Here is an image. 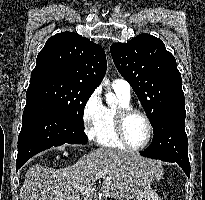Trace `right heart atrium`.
I'll return each mask as SVG.
<instances>
[{"instance_id":"right-heart-atrium-1","label":"right heart atrium","mask_w":205,"mask_h":200,"mask_svg":"<svg viewBox=\"0 0 205 200\" xmlns=\"http://www.w3.org/2000/svg\"><path fill=\"white\" fill-rule=\"evenodd\" d=\"M104 105L99 89L94 90L86 99L82 108V123L86 136L95 140L103 120Z\"/></svg>"}]
</instances>
